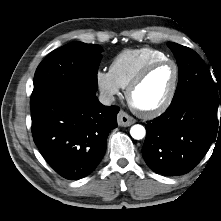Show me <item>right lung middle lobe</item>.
<instances>
[{
    "label": "right lung middle lobe",
    "mask_w": 221,
    "mask_h": 221,
    "mask_svg": "<svg viewBox=\"0 0 221 221\" xmlns=\"http://www.w3.org/2000/svg\"><path fill=\"white\" fill-rule=\"evenodd\" d=\"M102 48L96 44L73 42L52 51L38 66L30 106L64 84H81L97 90V72Z\"/></svg>",
    "instance_id": "dd1d6c3e"
}]
</instances>
